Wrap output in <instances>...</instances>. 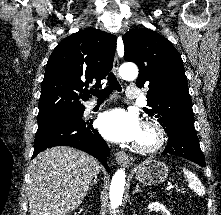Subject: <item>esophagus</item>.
I'll return each instance as SVG.
<instances>
[{"mask_svg": "<svg viewBox=\"0 0 221 215\" xmlns=\"http://www.w3.org/2000/svg\"><path fill=\"white\" fill-rule=\"evenodd\" d=\"M113 69L115 74L118 76V69H119V60L117 57L114 58L113 61ZM116 156V161L124 166H130L133 164V158L126 154L124 151H119L115 154Z\"/></svg>", "mask_w": 221, "mask_h": 215, "instance_id": "34e87169", "label": "esophagus"}]
</instances>
